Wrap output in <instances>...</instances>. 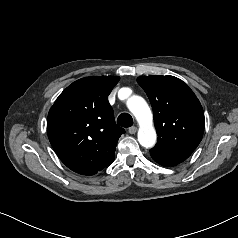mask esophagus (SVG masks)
I'll return each instance as SVG.
<instances>
[{
  "label": "esophagus",
  "instance_id": "1",
  "mask_svg": "<svg viewBox=\"0 0 238 238\" xmlns=\"http://www.w3.org/2000/svg\"><path fill=\"white\" fill-rule=\"evenodd\" d=\"M128 132H129L130 134H135V133L137 132V127H135V126L130 127V128L128 129Z\"/></svg>",
  "mask_w": 238,
  "mask_h": 238
}]
</instances>
